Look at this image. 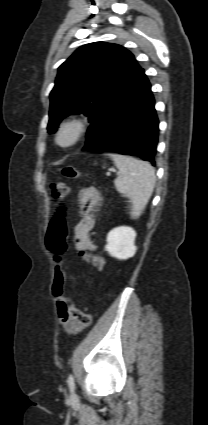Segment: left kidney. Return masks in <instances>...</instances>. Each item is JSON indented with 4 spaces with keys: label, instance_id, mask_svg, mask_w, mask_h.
<instances>
[{
    "label": "left kidney",
    "instance_id": "5707ae66",
    "mask_svg": "<svg viewBox=\"0 0 208 425\" xmlns=\"http://www.w3.org/2000/svg\"><path fill=\"white\" fill-rule=\"evenodd\" d=\"M136 232L128 226H119L112 229L107 235L106 251L120 260L131 258L136 253L134 241Z\"/></svg>",
    "mask_w": 208,
    "mask_h": 425
}]
</instances>
